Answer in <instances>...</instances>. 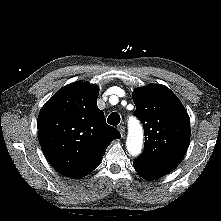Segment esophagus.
<instances>
[{
    "instance_id": "esophagus-1",
    "label": "esophagus",
    "mask_w": 221,
    "mask_h": 221,
    "mask_svg": "<svg viewBox=\"0 0 221 221\" xmlns=\"http://www.w3.org/2000/svg\"><path fill=\"white\" fill-rule=\"evenodd\" d=\"M118 130L120 131L121 136L124 137L125 136V127L123 125H120L118 127Z\"/></svg>"
}]
</instances>
